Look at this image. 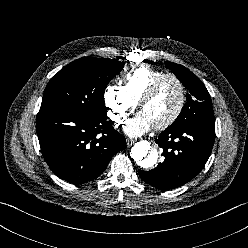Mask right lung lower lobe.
<instances>
[{"mask_svg": "<svg viewBox=\"0 0 248 248\" xmlns=\"http://www.w3.org/2000/svg\"><path fill=\"white\" fill-rule=\"evenodd\" d=\"M111 120L73 111L43 109L36 120L42 155L59 178L83 184L99 177L111 158L126 148Z\"/></svg>", "mask_w": 248, "mask_h": 248, "instance_id": "obj_1", "label": "right lung lower lobe"}]
</instances>
